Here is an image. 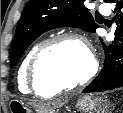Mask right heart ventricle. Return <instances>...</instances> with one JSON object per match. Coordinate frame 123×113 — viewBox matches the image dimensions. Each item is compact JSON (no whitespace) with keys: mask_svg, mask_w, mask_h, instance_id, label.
Instances as JSON below:
<instances>
[{"mask_svg":"<svg viewBox=\"0 0 123 113\" xmlns=\"http://www.w3.org/2000/svg\"><path fill=\"white\" fill-rule=\"evenodd\" d=\"M40 44H36L34 45L29 51L28 53L25 55L24 59L22 60L21 65L18 68L17 71V84L20 90L24 91L26 89H29L30 91H32L33 93H36L28 84V80H27V68L30 62V59L34 53V51L37 49V47ZM37 94V93H36ZM41 95L43 97H51L54 96V93H46V94H38Z\"/></svg>","mask_w":123,"mask_h":113,"instance_id":"e07e8e85","label":"right heart ventricle"}]
</instances>
